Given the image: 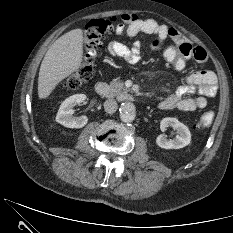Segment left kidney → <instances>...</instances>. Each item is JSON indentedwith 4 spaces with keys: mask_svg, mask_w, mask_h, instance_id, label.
<instances>
[{
    "mask_svg": "<svg viewBox=\"0 0 233 233\" xmlns=\"http://www.w3.org/2000/svg\"><path fill=\"white\" fill-rule=\"evenodd\" d=\"M176 130L177 136L174 139H167L161 134L157 137L156 143L163 149H180L191 143V133L189 128L176 118L166 117L160 122L161 131H165L168 127Z\"/></svg>",
    "mask_w": 233,
    "mask_h": 233,
    "instance_id": "5707ae66",
    "label": "left kidney"
}]
</instances>
